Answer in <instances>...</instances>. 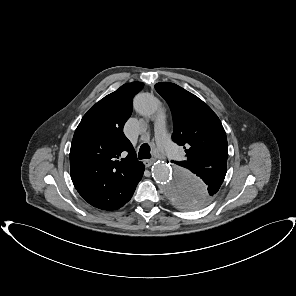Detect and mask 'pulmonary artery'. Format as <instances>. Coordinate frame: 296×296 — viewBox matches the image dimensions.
<instances>
[{
  "mask_svg": "<svg viewBox=\"0 0 296 296\" xmlns=\"http://www.w3.org/2000/svg\"><path fill=\"white\" fill-rule=\"evenodd\" d=\"M155 137L160 150L169 157L177 154L176 147L169 140L165 129L164 114L160 113L155 122Z\"/></svg>",
  "mask_w": 296,
  "mask_h": 296,
  "instance_id": "pulmonary-artery-1",
  "label": "pulmonary artery"
}]
</instances>
